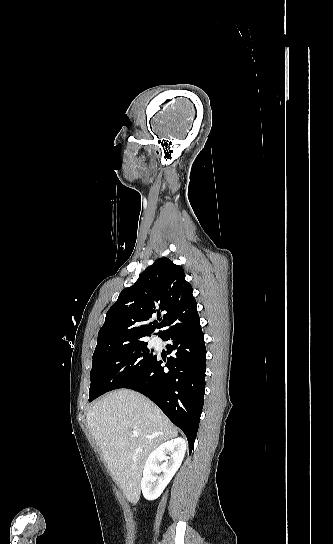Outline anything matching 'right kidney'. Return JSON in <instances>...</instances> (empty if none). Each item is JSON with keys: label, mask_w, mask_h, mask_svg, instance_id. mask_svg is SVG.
<instances>
[{"label": "right kidney", "mask_w": 333, "mask_h": 544, "mask_svg": "<svg viewBox=\"0 0 333 544\" xmlns=\"http://www.w3.org/2000/svg\"><path fill=\"white\" fill-rule=\"evenodd\" d=\"M185 451V440L175 438L161 444L149 455L141 480V490L147 500H155L161 495L179 469ZM167 454H170V456H167ZM162 461L163 463L159 465Z\"/></svg>", "instance_id": "obj_1"}]
</instances>
